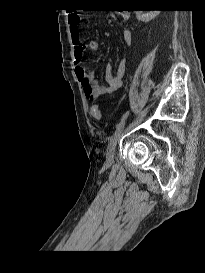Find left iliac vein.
Instances as JSON below:
<instances>
[{"instance_id": "1", "label": "left iliac vein", "mask_w": 205, "mask_h": 273, "mask_svg": "<svg viewBox=\"0 0 205 273\" xmlns=\"http://www.w3.org/2000/svg\"><path fill=\"white\" fill-rule=\"evenodd\" d=\"M126 120H123L117 127V129L115 130L109 144L107 147V152H106V159L108 162H112L114 160V155H115V148L116 145L119 141V138L121 136V133L123 131V128L125 126Z\"/></svg>"}]
</instances>
